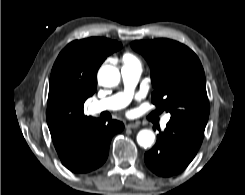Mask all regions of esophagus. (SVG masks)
<instances>
[{"label": "esophagus", "mask_w": 245, "mask_h": 195, "mask_svg": "<svg viewBox=\"0 0 245 195\" xmlns=\"http://www.w3.org/2000/svg\"><path fill=\"white\" fill-rule=\"evenodd\" d=\"M139 125H140V123H138V122H135V123H128V124L126 125V128H128V129H136V128L139 127Z\"/></svg>", "instance_id": "esophagus-1"}]
</instances>
